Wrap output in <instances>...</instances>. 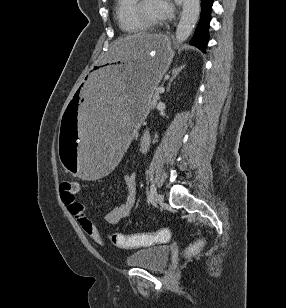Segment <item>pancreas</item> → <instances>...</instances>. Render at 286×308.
Returning <instances> with one entry per match:
<instances>
[{
	"instance_id": "1",
	"label": "pancreas",
	"mask_w": 286,
	"mask_h": 308,
	"mask_svg": "<svg viewBox=\"0 0 286 308\" xmlns=\"http://www.w3.org/2000/svg\"><path fill=\"white\" fill-rule=\"evenodd\" d=\"M159 98H160V96H159L158 89H155V91H154V93H153V95H152V98H151V100H150V102H149V106L154 107L155 104H156V102H157V100H158Z\"/></svg>"
}]
</instances>
